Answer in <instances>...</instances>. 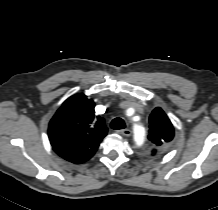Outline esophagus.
<instances>
[{"label":"esophagus","mask_w":218,"mask_h":210,"mask_svg":"<svg viewBox=\"0 0 218 210\" xmlns=\"http://www.w3.org/2000/svg\"><path fill=\"white\" fill-rule=\"evenodd\" d=\"M118 134L124 135V136H130L131 131L129 129H122L117 131Z\"/></svg>","instance_id":"obj_1"}]
</instances>
